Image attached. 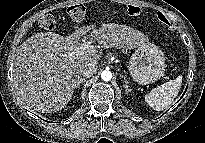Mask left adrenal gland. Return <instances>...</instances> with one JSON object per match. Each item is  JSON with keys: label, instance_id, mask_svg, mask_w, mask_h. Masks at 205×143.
<instances>
[{"label": "left adrenal gland", "instance_id": "left-adrenal-gland-1", "mask_svg": "<svg viewBox=\"0 0 205 143\" xmlns=\"http://www.w3.org/2000/svg\"><path fill=\"white\" fill-rule=\"evenodd\" d=\"M122 77L124 78V83H125L124 84V88H125V91H126V93H129L131 91V89H129V82L126 79V76L122 75Z\"/></svg>", "mask_w": 205, "mask_h": 143}]
</instances>
